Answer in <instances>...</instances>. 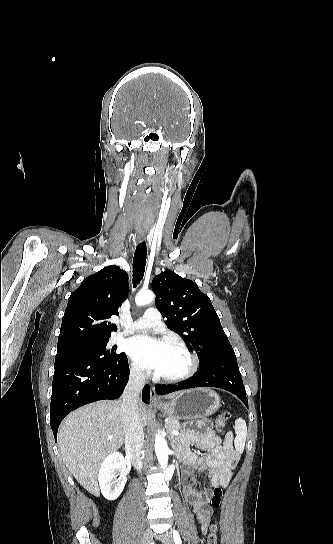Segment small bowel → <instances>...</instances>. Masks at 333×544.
Segmentation results:
<instances>
[{"mask_svg":"<svg viewBox=\"0 0 333 544\" xmlns=\"http://www.w3.org/2000/svg\"><path fill=\"white\" fill-rule=\"evenodd\" d=\"M194 429L187 430L178 442L181 458L187 465L183 473L184 494L192 504L200 521L203 535L207 533L213 514L209 505L212 487H226L231 479L240 454L233 445V434L222 439L213 431L207 419L193 423ZM197 446L201 452H193L189 446ZM207 479L200 485V477Z\"/></svg>","mask_w":333,"mask_h":544,"instance_id":"obj_1","label":"small bowel"}]
</instances>
